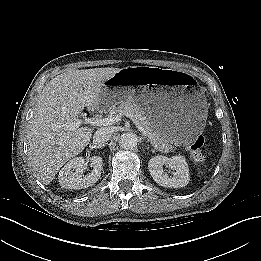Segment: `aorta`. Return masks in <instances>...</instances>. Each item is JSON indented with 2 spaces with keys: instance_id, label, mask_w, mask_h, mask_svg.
Masks as SVG:
<instances>
[{
  "instance_id": "1",
  "label": "aorta",
  "mask_w": 261,
  "mask_h": 261,
  "mask_svg": "<svg viewBox=\"0 0 261 261\" xmlns=\"http://www.w3.org/2000/svg\"><path fill=\"white\" fill-rule=\"evenodd\" d=\"M138 144V137L132 132L123 133L119 139V145L122 149H132Z\"/></svg>"
}]
</instances>
